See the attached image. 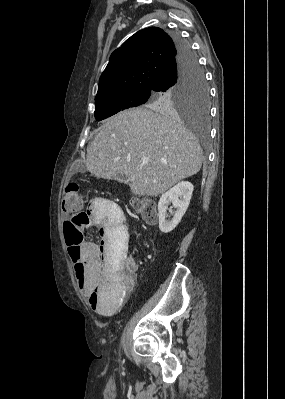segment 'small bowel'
<instances>
[{
    "label": "small bowel",
    "instance_id": "c3829d8e",
    "mask_svg": "<svg viewBox=\"0 0 285 399\" xmlns=\"http://www.w3.org/2000/svg\"><path fill=\"white\" fill-rule=\"evenodd\" d=\"M89 223L85 226L97 229L100 244L83 242L75 265L83 266L80 288L88 294L93 310L101 315H111L123 302L127 290L134 286L136 262L133 256L118 257L117 248L122 239L123 214L105 198L91 199L86 206ZM108 212L109 218L104 219ZM126 226V225H125ZM127 236V235H126Z\"/></svg>",
    "mask_w": 285,
    "mask_h": 399
}]
</instances>
